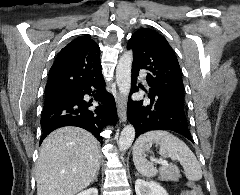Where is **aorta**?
<instances>
[{
    "label": "aorta",
    "mask_w": 240,
    "mask_h": 195,
    "mask_svg": "<svg viewBox=\"0 0 240 195\" xmlns=\"http://www.w3.org/2000/svg\"><path fill=\"white\" fill-rule=\"evenodd\" d=\"M133 62V52L132 50H128V52H124L123 56H121L118 66L116 68V82L119 88L120 94L127 98L129 96L130 88H131V66ZM135 137V129L133 125H125L123 127L120 137H119V149L123 151V149H128L130 147L133 139Z\"/></svg>",
    "instance_id": "obj_1"
}]
</instances>
